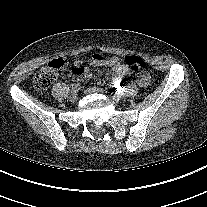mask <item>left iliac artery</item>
Listing matches in <instances>:
<instances>
[{
    "instance_id": "1",
    "label": "left iliac artery",
    "mask_w": 207,
    "mask_h": 207,
    "mask_svg": "<svg viewBox=\"0 0 207 207\" xmlns=\"http://www.w3.org/2000/svg\"><path fill=\"white\" fill-rule=\"evenodd\" d=\"M114 96H117V97H120V98H123L124 97V94L122 93L121 90H115L114 91Z\"/></svg>"
}]
</instances>
